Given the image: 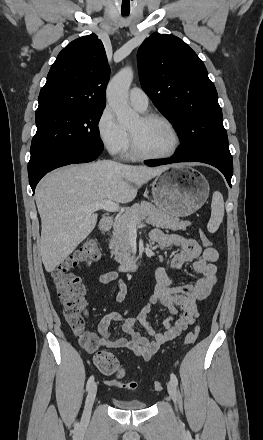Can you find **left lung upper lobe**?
<instances>
[{
  "label": "left lung upper lobe",
  "instance_id": "5c2ea615",
  "mask_svg": "<svg viewBox=\"0 0 263 440\" xmlns=\"http://www.w3.org/2000/svg\"><path fill=\"white\" fill-rule=\"evenodd\" d=\"M141 86L173 123L188 159L229 154L214 84L202 60L180 38L154 33L137 53Z\"/></svg>",
  "mask_w": 263,
  "mask_h": 440
}]
</instances>
